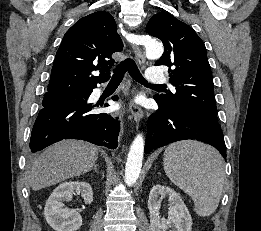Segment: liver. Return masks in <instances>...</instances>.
<instances>
[{
	"mask_svg": "<svg viewBox=\"0 0 261 231\" xmlns=\"http://www.w3.org/2000/svg\"><path fill=\"white\" fill-rule=\"evenodd\" d=\"M98 148L79 140H63L48 147L30 165L27 181L32 190L85 174L95 165Z\"/></svg>",
	"mask_w": 261,
	"mask_h": 231,
	"instance_id": "liver-1",
	"label": "liver"
}]
</instances>
